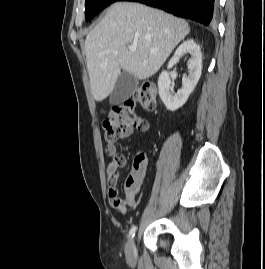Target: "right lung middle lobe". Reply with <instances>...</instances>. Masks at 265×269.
Segmentation results:
<instances>
[{
	"label": "right lung middle lobe",
	"instance_id": "obj_1",
	"mask_svg": "<svg viewBox=\"0 0 265 269\" xmlns=\"http://www.w3.org/2000/svg\"><path fill=\"white\" fill-rule=\"evenodd\" d=\"M121 0H86L85 2V19L91 20L101 10L110 4Z\"/></svg>",
	"mask_w": 265,
	"mask_h": 269
}]
</instances>
